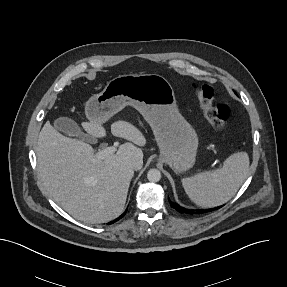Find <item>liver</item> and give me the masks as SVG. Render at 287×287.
Wrapping results in <instances>:
<instances>
[{
  "mask_svg": "<svg viewBox=\"0 0 287 287\" xmlns=\"http://www.w3.org/2000/svg\"><path fill=\"white\" fill-rule=\"evenodd\" d=\"M83 127L93 137L106 136L102 122H84ZM111 133L130 142L103 160L91 145L60 134L49 122L39 133L36 155L46 190L66 212L86 223L108 222L122 213L134 175L129 161L143 160L137 146H144L146 139L139 129L119 120Z\"/></svg>",
  "mask_w": 287,
  "mask_h": 287,
  "instance_id": "1",
  "label": "liver"
}]
</instances>
